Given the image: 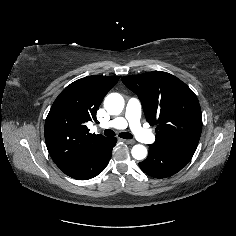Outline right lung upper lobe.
Here are the masks:
<instances>
[{"label":"right lung upper lobe","instance_id":"1","mask_svg":"<svg viewBox=\"0 0 236 236\" xmlns=\"http://www.w3.org/2000/svg\"><path fill=\"white\" fill-rule=\"evenodd\" d=\"M118 77L88 76L68 85L54 101L45 121L48 152L65 173L76 169L106 137L89 133L86 123Z\"/></svg>","mask_w":236,"mask_h":236}]
</instances>
